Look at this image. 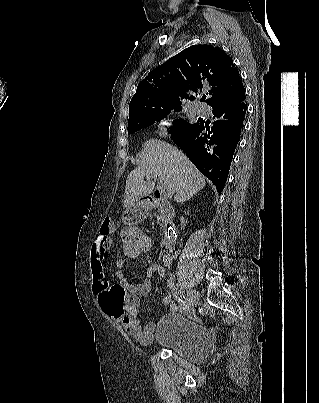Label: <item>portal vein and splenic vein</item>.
<instances>
[{
	"label": "portal vein and splenic vein",
	"mask_w": 319,
	"mask_h": 403,
	"mask_svg": "<svg viewBox=\"0 0 319 403\" xmlns=\"http://www.w3.org/2000/svg\"><path fill=\"white\" fill-rule=\"evenodd\" d=\"M149 178L150 177L147 176V179H149ZM158 188H159L160 192H162V193H165L167 191V187H166L165 183L163 181H161V180H160V182L158 184Z\"/></svg>",
	"instance_id": "1"
}]
</instances>
